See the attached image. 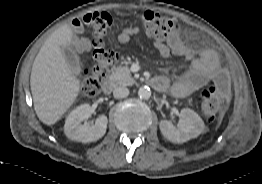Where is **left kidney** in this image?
<instances>
[{
    "label": "left kidney",
    "mask_w": 262,
    "mask_h": 184,
    "mask_svg": "<svg viewBox=\"0 0 262 184\" xmlns=\"http://www.w3.org/2000/svg\"><path fill=\"white\" fill-rule=\"evenodd\" d=\"M159 127L162 135L173 143H184L198 137L205 131L203 120L195 111L189 108L181 110L177 127L168 120L160 121Z\"/></svg>",
    "instance_id": "left-kidney-1"
}]
</instances>
